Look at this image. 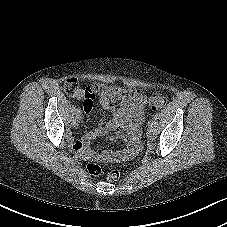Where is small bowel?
Segmentation results:
<instances>
[{
	"instance_id": "c3829d8e",
	"label": "small bowel",
	"mask_w": 227,
	"mask_h": 227,
	"mask_svg": "<svg viewBox=\"0 0 227 227\" xmlns=\"http://www.w3.org/2000/svg\"><path fill=\"white\" fill-rule=\"evenodd\" d=\"M75 98L83 101V109L86 113L91 112L93 100H88L84 90L78 92ZM99 102L103 109L112 114L113 118L105 125L98 124L97 127L88 131L82 139L72 140V148L87 160L120 161L133 157L138 151L140 129L145 115L142 95L135 91L131 100L121 107H117L106 96H101ZM112 133L114 134L113 138L121 136L125 140L126 148L116 152L107 149L102 153H96L91 149L93 139Z\"/></svg>"
}]
</instances>
